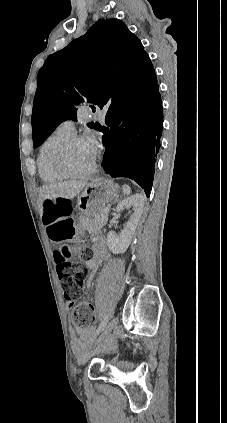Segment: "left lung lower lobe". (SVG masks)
Returning a JSON list of instances; mask_svg holds the SVG:
<instances>
[{
    "label": "left lung lower lobe",
    "mask_w": 227,
    "mask_h": 423,
    "mask_svg": "<svg viewBox=\"0 0 227 423\" xmlns=\"http://www.w3.org/2000/svg\"><path fill=\"white\" fill-rule=\"evenodd\" d=\"M104 133L103 167L112 177L135 180L149 197L156 153L160 147L163 109L155 70L133 94L125 110H108Z\"/></svg>",
    "instance_id": "left-lung-lower-lobe-1"
}]
</instances>
